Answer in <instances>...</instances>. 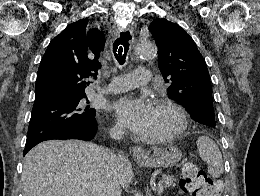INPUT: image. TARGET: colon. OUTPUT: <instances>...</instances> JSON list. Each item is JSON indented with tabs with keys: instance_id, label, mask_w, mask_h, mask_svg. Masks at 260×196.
Wrapping results in <instances>:
<instances>
[{
	"instance_id": "1",
	"label": "colon",
	"mask_w": 260,
	"mask_h": 196,
	"mask_svg": "<svg viewBox=\"0 0 260 196\" xmlns=\"http://www.w3.org/2000/svg\"><path fill=\"white\" fill-rule=\"evenodd\" d=\"M181 180L187 192H200L210 184L209 177L193 161H186L183 164Z\"/></svg>"
}]
</instances>
